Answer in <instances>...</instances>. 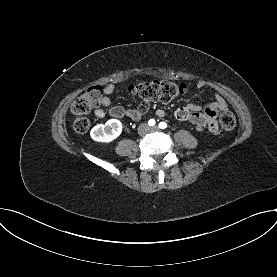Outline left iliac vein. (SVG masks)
I'll return each instance as SVG.
<instances>
[{"mask_svg": "<svg viewBox=\"0 0 277 277\" xmlns=\"http://www.w3.org/2000/svg\"><path fill=\"white\" fill-rule=\"evenodd\" d=\"M157 130H159V128L156 126L151 128V131H157Z\"/></svg>", "mask_w": 277, "mask_h": 277, "instance_id": "4c4485c4", "label": "left iliac vein"}]
</instances>
